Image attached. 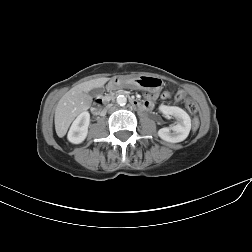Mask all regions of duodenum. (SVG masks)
Segmentation results:
<instances>
[{
    "label": "duodenum",
    "mask_w": 252,
    "mask_h": 252,
    "mask_svg": "<svg viewBox=\"0 0 252 252\" xmlns=\"http://www.w3.org/2000/svg\"><path fill=\"white\" fill-rule=\"evenodd\" d=\"M116 86L117 85H116V83L114 81L110 82V84H109V88H110L111 91H113L116 88ZM108 100H109V97L108 98L99 99L95 103V105H94L93 112L96 115L101 114L104 111L105 105L107 104ZM130 103L135 108L144 109V104L142 102H139L137 100L131 99Z\"/></svg>",
    "instance_id": "410a0bca"
}]
</instances>
